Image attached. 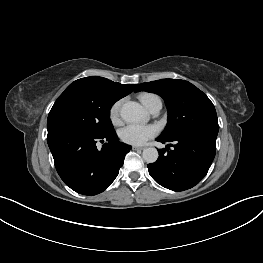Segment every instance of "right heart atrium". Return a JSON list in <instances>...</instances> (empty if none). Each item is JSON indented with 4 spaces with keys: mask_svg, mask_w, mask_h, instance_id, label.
I'll list each match as a JSON object with an SVG mask.
<instances>
[{
    "mask_svg": "<svg viewBox=\"0 0 263 263\" xmlns=\"http://www.w3.org/2000/svg\"><path fill=\"white\" fill-rule=\"evenodd\" d=\"M120 107L121 101L114 102L109 109V118L114 125L120 124Z\"/></svg>",
    "mask_w": 263,
    "mask_h": 263,
    "instance_id": "obj_1",
    "label": "right heart atrium"
}]
</instances>
